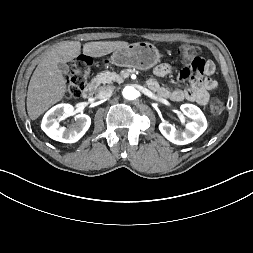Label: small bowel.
<instances>
[{
  "label": "small bowel",
  "mask_w": 253,
  "mask_h": 253,
  "mask_svg": "<svg viewBox=\"0 0 253 253\" xmlns=\"http://www.w3.org/2000/svg\"><path fill=\"white\" fill-rule=\"evenodd\" d=\"M170 71L169 65L162 64L154 69V75L156 78H164ZM215 72L216 62L214 59H204L201 56H196L181 68L180 78H190V86L188 88L169 90L162 86L158 79H150L148 85L161 97L168 98L174 102L188 100L200 105H206L210 98V92L217 88L216 81L208 77L214 75Z\"/></svg>",
  "instance_id": "1"
}]
</instances>
